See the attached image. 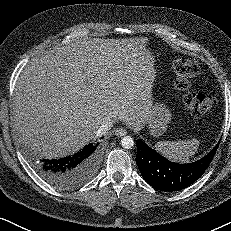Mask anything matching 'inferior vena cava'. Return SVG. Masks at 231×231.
<instances>
[{
    "label": "inferior vena cava",
    "mask_w": 231,
    "mask_h": 231,
    "mask_svg": "<svg viewBox=\"0 0 231 231\" xmlns=\"http://www.w3.org/2000/svg\"><path fill=\"white\" fill-rule=\"evenodd\" d=\"M112 122H105L97 129V136H102L108 132L112 127Z\"/></svg>",
    "instance_id": "1"
}]
</instances>
